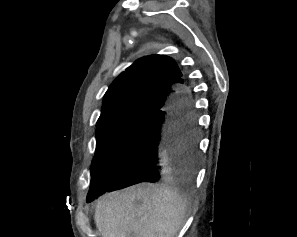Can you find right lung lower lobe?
<instances>
[{
    "label": "right lung lower lobe",
    "instance_id": "right-lung-lower-lobe-1",
    "mask_svg": "<svg viewBox=\"0 0 297 237\" xmlns=\"http://www.w3.org/2000/svg\"><path fill=\"white\" fill-rule=\"evenodd\" d=\"M192 91L182 87L154 114L120 165L114 183L90 197L141 182L157 183L190 175L196 165L197 123Z\"/></svg>",
    "mask_w": 297,
    "mask_h": 237
}]
</instances>
